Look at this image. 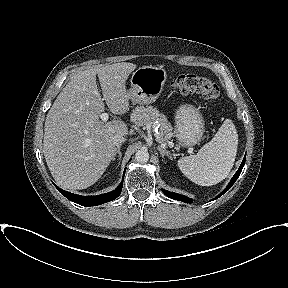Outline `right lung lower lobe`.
Instances as JSON below:
<instances>
[{
    "label": "right lung lower lobe",
    "mask_w": 288,
    "mask_h": 288,
    "mask_svg": "<svg viewBox=\"0 0 288 288\" xmlns=\"http://www.w3.org/2000/svg\"><path fill=\"white\" fill-rule=\"evenodd\" d=\"M126 168L124 169L125 172ZM122 183L114 190L109 193L97 195V196H81V195H76L67 191H64L60 189L59 187L56 188L70 201L75 202L79 205L85 206V207H90V206H96L100 205L109 201L114 200L117 198L122 190Z\"/></svg>",
    "instance_id": "right-lung-lower-lobe-1"
}]
</instances>
